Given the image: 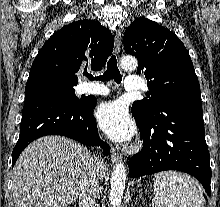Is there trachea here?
<instances>
[{
    "instance_id": "1",
    "label": "trachea",
    "mask_w": 220,
    "mask_h": 207,
    "mask_svg": "<svg viewBox=\"0 0 220 207\" xmlns=\"http://www.w3.org/2000/svg\"><path fill=\"white\" fill-rule=\"evenodd\" d=\"M89 80L109 81L113 79L117 84L121 83L122 76L117 66V59L115 55H112L107 63V70L103 75L93 77L91 74H85Z\"/></svg>"
}]
</instances>
